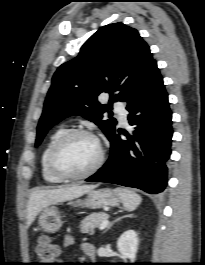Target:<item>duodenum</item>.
<instances>
[{"label":"duodenum","mask_w":205,"mask_h":265,"mask_svg":"<svg viewBox=\"0 0 205 265\" xmlns=\"http://www.w3.org/2000/svg\"><path fill=\"white\" fill-rule=\"evenodd\" d=\"M87 256L93 260L95 259V256H96V251H95V247L91 244H89L87 247H86V250H85Z\"/></svg>","instance_id":"duodenum-1"}]
</instances>
